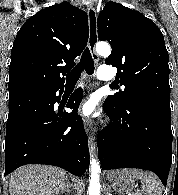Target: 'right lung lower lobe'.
<instances>
[{"instance_id": "98d812e1", "label": "right lung lower lobe", "mask_w": 178, "mask_h": 195, "mask_svg": "<svg viewBox=\"0 0 178 195\" xmlns=\"http://www.w3.org/2000/svg\"><path fill=\"white\" fill-rule=\"evenodd\" d=\"M64 85L9 96L5 138V175L26 164L54 165L81 176L89 169L87 135L77 114L83 97L77 89L66 107L54 108Z\"/></svg>"}]
</instances>
